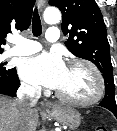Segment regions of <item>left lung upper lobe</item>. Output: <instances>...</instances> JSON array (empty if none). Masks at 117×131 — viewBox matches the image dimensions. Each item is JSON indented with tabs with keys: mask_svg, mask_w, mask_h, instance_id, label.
I'll use <instances>...</instances> for the list:
<instances>
[{
	"mask_svg": "<svg viewBox=\"0 0 117 131\" xmlns=\"http://www.w3.org/2000/svg\"><path fill=\"white\" fill-rule=\"evenodd\" d=\"M62 12V31L69 34L65 45L75 56L93 62L105 81L103 107L116 109L110 47L102 13L95 0H49Z\"/></svg>",
	"mask_w": 117,
	"mask_h": 131,
	"instance_id": "obj_1",
	"label": "left lung upper lobe"
}]
</instances>
